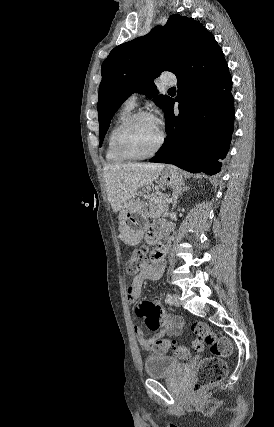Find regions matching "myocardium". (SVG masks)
Here are the masks:
<instances>
[{
    "instance_id": "f54148a6",
    "label": "myocardium",
    "mask_w": 274,
    "mask_h": 427,
    "mask_svg": "<svg viewBox=\"0 0 274 427\" xmlns=\"http://www.w3.org/2000/svg\"><path fill=\"white\" fill-rule=\"evenodd\" d=\"M143 117H152L153 115L147 111H138L136 113L131 114L118 128V131L115 136V146L119 153L124 156L127 160L130 161H140L147 160L155 157L164 147L166 143V132L164 129H161V137L156 148L146 155H136L132 153L126 146L125 137L129 128L140 118Z\"/></svg>"
}]
</instances>
